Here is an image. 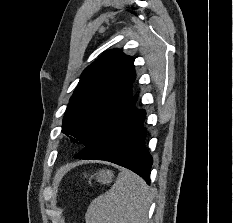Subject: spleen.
<instances>
[{
    "label": "spleen",
    "instance_id": "3e777b00",
    "mask_svg": "<svg viewBox=\"0 0 233 223\" xmlns=\"http://www.w3.org/2000/svg\"><path fill=\"white\" fill-rule=\"evenodd\" d=\"M150 191L144 179L121 171L109 191L92 199L86 223H146Z\"/></svg>",
    "mask_w": 233,
    "mask_h": 223
}]
</instances>
